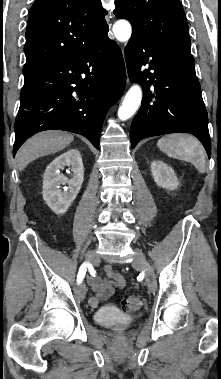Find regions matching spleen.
I'll return each instance as SVG.
<instances>
[{"mask_svg":"<svg viewBox=\"0 0 221 379\" xmlns=\"http://www.w3.org/2000/svg\"><path fill=\"white\" fill-rule=\"evenodd\" d=\"M159 149L169 157L190 162L200 172L206 169V153L202 144L193 136L169 134L157 142Z\"/></svg>","mask_w":221,"mask_h":379,"instance_id":"3e777b00","label":"spleen"}]
</instances>
